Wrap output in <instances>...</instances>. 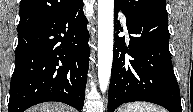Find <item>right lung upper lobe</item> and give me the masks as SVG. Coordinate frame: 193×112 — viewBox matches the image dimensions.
Wrapping results in <instances>:
<instances>
[{"label":"right lung upper lobe","mask_w":193,"mask_h":112,"mask_svg":"<svg viewBox=\"0 0 193 112\" xmlns=\"http://www.w3.org/2000/svg\"><path fill=\"white\" fill-rule=\"evenodd\" d=\"M80 0H21L18 32L30 29L71 8Z\"/></svg>","instance_id":"right-lung-upper-lobe-1"}]
</instances>
